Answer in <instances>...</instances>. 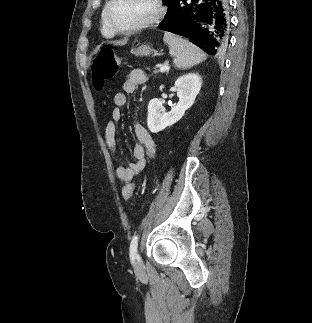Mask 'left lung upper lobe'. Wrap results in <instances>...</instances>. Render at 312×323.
I'll use <instances>...</instances> for the list:
<instances>
[{"mask_svg":"<svg viewBox=\"0 0 312 323\" xmlns=\"http://www.w3.org/2000/svg\"><path fill=\"white\" fill-rule=\"evenodd\" d=\"M163 1L165 4L168 5V10L164 20L160 23V25L164 24L165 22H167L169 19L172 18L174 11L177 8V5L179 3V0H163Z\"/></svg>","mask_w":312,"mask_h":323,"instance_id":"5c2ea615","label":"left lung upper lobe"}]
</instances>
